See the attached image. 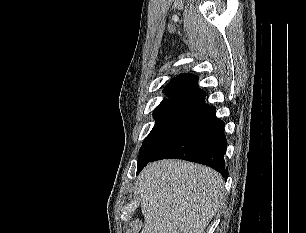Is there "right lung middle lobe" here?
<instances>
[{
	"instance_id": "obj_1",
	"label": "right lung middle lobe",
	"mask_w": 306,
	"mask_h": 233,
	"mask_svg": "<svg viewBox=\"0 0 306 233\" xmlns=\"http://www.w3.org/2000/svg\"><path fill=\"white\" fill-rule=\"evenodd\" d=\"M204 110L182 102L160 103L153 113L156 123L140 148L137 167L154 157Z\"/></svg>"
}]
</instances>
